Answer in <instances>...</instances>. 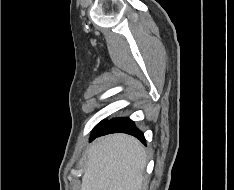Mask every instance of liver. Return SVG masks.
<instances>
[{"mask_svg":"<svg viewBox=\"0 0 234 190\" xmlns=\"http://www.w3.org/2000/svg\"><path fill=\"white\" fill-rule=\"evenodd\" d=\"M144 146L126 134L98 138L88 150L81 190H141Z\"/></svg>","mask_w":234,"mask_h":190,"instance_id":"obj_1","label":"liver"}]
</instances>
